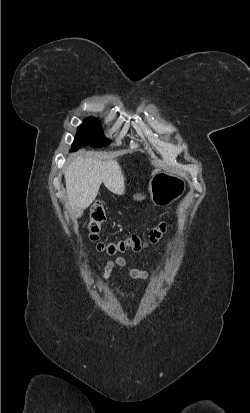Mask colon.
I'll use <instances>...</instances> for the list:
<instances>
[{"label":"colon","mask_w":250,"mask_h":413,"mask_svg":"<svg viewBox=\"0 0 250 413\" xmlns=\"http://www.w3.org/2000/svg\"><path fill=\"white\" fill-rule=\"evenodd\" d=\"M105 207L101 201H96L91 207L90 221L88 224L89 238L97 242V247L101 251L113 255L118 252H124L127 249L138 251L147 243L142 241L139 236L132 234L125 239L116 242L104 243L99 241V233L102 224L105 222ZM166 231V224L161 222L149 230L148 238L150 243L157 242Z\"/></svg>","instance_id":"colon-1"}]
</instances>
